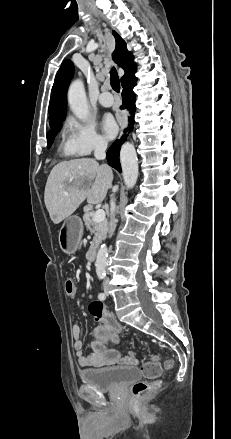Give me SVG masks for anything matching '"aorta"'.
I'll use <instances>...</instances> for the list:
<instances>
[{
    "label": "aorta",
    "instance_id": "762f6f07",
    "mask_svg": "<svg viewBox=\"0 0 231 439\" xmlns=\"http://www.w3.org/2000/svg\"><path fill=\"white\" fill-rule=\"evenodd\" d=\"M68 103L73 114L80 120H86L89 115V107L84 84L81 80L71 83L68 90ZM120 161L122 166L124 183L128 189L134 187L138 178V160L133 144L127 142L120 150ZM108 264V248L102 244L96 256V274L99 278L106 276Z\"/></svg>",
    "mask_w": 231,
    "mask_h": 439
}]
</instances>
